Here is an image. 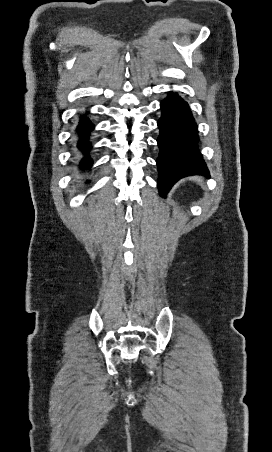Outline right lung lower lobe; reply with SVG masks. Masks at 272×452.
Returning <instances> with one entry per match:
<instances>
[{"label":"right lung lower lobe","instance_id":"1","mask_svg":"<svg viewBox=\"0 0 272 452\" xmlns=\"http://www.w3.org/2000/svg\"><path fill=\"white\" fill-rule=\"evenodd\" d=\"M94 126L92 122L86 118L81 117L80 123L77 126V134L79 136L78 148L83 152H88L91 148L90 142L88 141L89 134L93 130ZM82 168L88 169L92 165V160L90 157H85L81 163Z\"/></svg>","mask_w":272,"mask_h":452}]
</instances>
